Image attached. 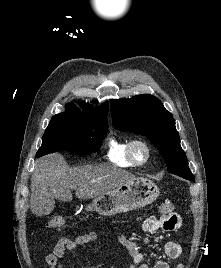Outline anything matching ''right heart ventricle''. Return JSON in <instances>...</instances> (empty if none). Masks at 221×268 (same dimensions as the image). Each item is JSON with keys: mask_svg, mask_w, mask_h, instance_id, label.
Segmentation results:
<instances>
[{"mask_svg": "<svg viewBox=\"0 0 221 268\" xmlns=\"http://www.w3.org/2000/svg\"><path fill=\"white\" fill-rule=\"evenodd\" d=\"M130 140L124 138L111 137L108 141L107 159L120 167L135 166L128 158L127 146Z\"/></svg>", "mask_w": 221, "mask_h": 268, "instance_id": "right-heart-ventricle-1", "label": "right heart ventricle"}]
</instances>
